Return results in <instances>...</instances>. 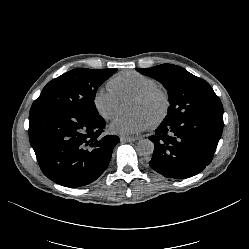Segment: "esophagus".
Segmentation results:
<instances>
[{
    "instance_id": "34e87169",
    "label": "esophagus",
    "mask_w": 249,
    "mask_h": 249,
    "mask_svg": "<svg viewBox=\"0 0 249 249\" xmlns=\"http://www.w3.org/2000/svg\"><path fill=\"white\" fill-rule=\"evenodd\" d=\"M120 140L122 143H131V142H134L136 139L133 137L121 136Z\"/></svg>"
}]
</instances>
